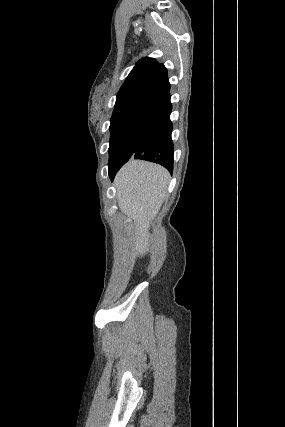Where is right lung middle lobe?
I'll list each match as a JSON object with an SVG mask.
<instances>
[{
    "instance_id": "obj_1",
    "label": "right lung middle lobe",
    "mask_w": 285,
    "mask_h": 427,
    "mask_svg": "<svg viewBox=\"0 0 285 427\" xmlns=\"http://www.w3.org/2000/svg\"><path fill=\"white\" fill-rule=\"evenodd\" d=\"M146 113L110 122L109 171L121 167L142 143L141 130Z\"/></svg>"
}]
</instances>
